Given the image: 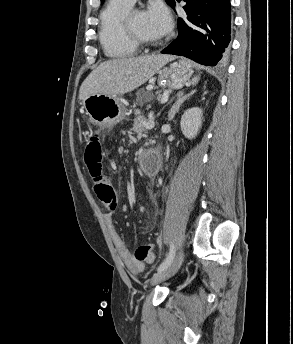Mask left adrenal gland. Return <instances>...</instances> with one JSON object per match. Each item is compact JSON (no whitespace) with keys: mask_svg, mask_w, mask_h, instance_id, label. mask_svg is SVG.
I'll return each mask as SVG.
<instances>
[{"mask_svg":"<svg viewBox=\"0 0 293 344\" xmlns=\"http://www.w3.org/2000/svg\"><path fill=\"white\" fill-rule=\"evenodd\" d=\"M196 91H192L191 93L184 95L183 92H180L177 95V100L175 101V103L173 104L172 108L170 109L169 113H168V120H172L175 116V114L178 112L180 106L187 100L189 99L192 95H194Z\"/></svg>","mask_w":293,"mask_h":344,"instance_id":"left-adrenal-gland-1","label":"left adrenal gland"}]
</instances>
